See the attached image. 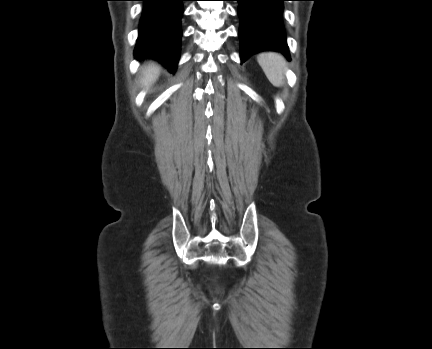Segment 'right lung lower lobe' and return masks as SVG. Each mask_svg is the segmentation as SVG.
<instances>
[{
    "instance_id": "98d812e1",
    "label": "right lung lower lobe",
    "mask_w": 432,
    "mask_h": 349,
    "mask_svg": "<svg viewBox=\"0 0 432 349\" xmlns=\"http://www.w3.org/2000/svg\"><path fill=\"white\" fill-rule=\"evenodd\" d=\"M144 1L135 57L159 60L174 72L180 56L181 25L184 0Z\"/></svg>"
}]
</instances>
